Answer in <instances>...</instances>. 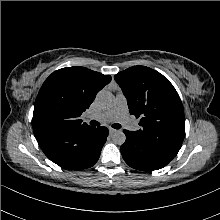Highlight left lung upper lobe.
Listing matches in <instances>:
<instances>
[{
	"instance_id": "5c2ea615",
	"label": "left lung upper lobe",
	"mask_w": 220,
	"mask_h": 220,
	"mask_svg": "<svg viewBox=\"0 0 220 220\" xmlns=\"http://www.w3.org/2000/svg\"><path fill=\"white\" fill-rule=\"evenodd\" d=\"M131 115L140 119L136 137L176 156L185 136L184 109L173 85L159 72L134 66L115 75Z\"/></svg>"
}]
</instances>
